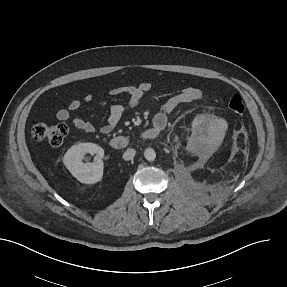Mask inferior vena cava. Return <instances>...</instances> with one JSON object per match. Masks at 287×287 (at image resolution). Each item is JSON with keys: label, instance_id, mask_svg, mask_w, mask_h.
Wrapping results in <instances>:
<instances>
[{"label": "inferior vena cava", "instance_id": "inferior-vena-cava-1", "mask_svg": "<svg viewBox=\"0 0 287 287\" xmlns=\"http://www.w3.org/2000/svg\"><path fill=\"white\" fill-rule=\"evenodd\" d=\"M135 154H136V151L134 149L128 148L123 154V159L126 161L132 160Z\"/></svg>", "mask_w": 287, "mask_h": 287}]
</instances>
